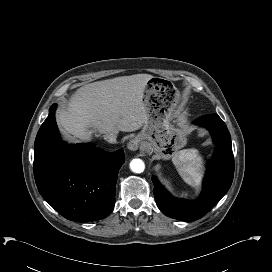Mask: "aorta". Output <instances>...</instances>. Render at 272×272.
<instances>
[{
    "label": "aorta",
    "instance_id": "762f6f07",
    "mask_svg": "<svg viewBox=\"0 0 272 272\" xmlns=\"http://www.w3.org/2000/svg\"><path fill=\"white\" fill-rule=\"evenodd\" d=\"M130 168L135 173H142L145 169V164L141 159H133L130 162Z\"/></svg>",
    "mask_w": 272,
    "mask_h": 272
}]
</instances>
